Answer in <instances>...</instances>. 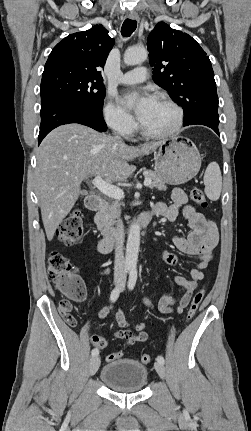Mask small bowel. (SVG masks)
<instances>
[{
	"mask_svg": "<svg viewBox=\"0 0 251 431\" xmlns=\"http://www.w3.org/2000/svg\"><path fill=\"white\" fill-rule=\"evenodd\" d=\"M150 212L162 216L169 221H175L179 213L182 212L191 228L188 236H176L173 238V244L178 250L198 257V263L191 270L190 278L183 276L174 277L175 283L183 287L185 293L178 301L170 295H164L160 298L157 306L160 313H171L174 310L177 313H182L188 306L198 282L204 278V269L214 259L215 249L218 244V231L210 219L188 203L185 192L179 188L174 189L172 192V204L167 205L163 202H157ZM163 259L170 265H174L177 262L176 256L167 251L163 253ZM109 273L110 269L106 267L98 275L103 276ZM142 302L148 308H154L150 299L143 298ZM175 305L176 307L174 308ZM114 308V305L103 307L98 313V318L104 319ZM116 321L120 329L114 332L115 339L124 340L126 345H133L148 339V333L145 331V322L132 323L125 318V315L120 310L116 313Z\"/></svg>",
	"mask_w": 251,
	"mask_h": 431,
	"instance_id": "small-bowel-1",
	"label": "small bowel"
}]
</instances>
